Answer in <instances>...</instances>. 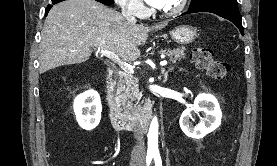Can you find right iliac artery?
Here are the masks:
<instances>
[{
    "label": "right iliac artery",
    "mask_w": 277,
    "mask_h": 166,
    "mask_svg": "<svg viewBox=\"0 0 277 166\" xmlns=\"http://www.w3.org/2000/svg\"><path fill=\"white\" fill-rule=\"evenodd\" d=\"M154 155L153 154H147L146 156V165L149 166L152 159H153Z\"/></svg>",
    "instance_id": "right-iliac-artery-1"
}]
</instances>
